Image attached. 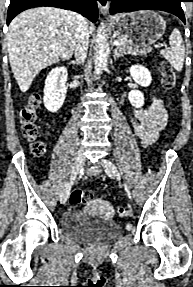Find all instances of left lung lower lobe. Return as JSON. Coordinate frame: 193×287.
I'll return each mask as SVG.
<instances>
[{
    "mask_svg": "<svg viewBox=\"0 0 193 287\" xmlns=\"http://www.w3.org/2000/svg\"><path fill=\"white\" fill-rule=\"evenodd\" d=\"M111 1L110 13L132 12L137 10H161L176 15L185 23L181 8L183 0H108Z\"/></svg>",
    "mask_w": 193,
    "mask_h": 287,
    "instance_id": "obj_1",
    "label": "left lung lower lobe"
}]
</instances>
